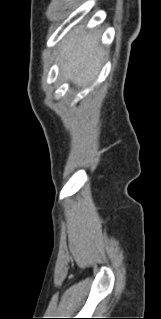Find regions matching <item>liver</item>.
Masks as SVG:
<instances>
[{
  "mask_svg": "<svg viewBox=\"0 0 161 319\" xmlns=\"http://www.w3.org/2000/svg\"><path fill=\"white\" fill-rule=\"evenodd\" d=\"M104 56L105 51L100 48L99 36L96 33L78 31L61 44V74L65 80L84 87L97 76Z\"/></svg>",
  "mask_w": 161,
  "mask_h": 319,
  "instance_id": "6515ba94",
  "label": "liver"
}]
</instances>
